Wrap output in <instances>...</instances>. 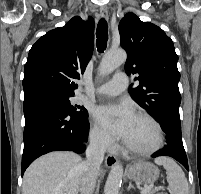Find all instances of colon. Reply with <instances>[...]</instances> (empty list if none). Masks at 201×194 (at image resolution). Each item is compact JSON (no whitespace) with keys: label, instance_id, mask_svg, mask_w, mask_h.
<instances>
[{"label":"colon","instance_id":"5ec220e1","mask_svg":"<svg viewBox=\"0 0 201 194\" xmlns=\"http://www.w3.org/2000/svg\"><path fill=\"white\" fill-rule=\"evenodd\" d=\"M158 194H167V193H164V192H160V193H158Z\"/></svg>","mask_w":201,"mask_h":194}]
</instances>
